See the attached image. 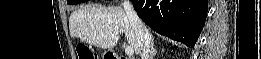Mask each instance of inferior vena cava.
<instances>
[{"instance_id": "1", "label": "inferior vena cava", "mask_w": 261, "mask_h": 59, "mask_svg": "<svg viewBox=\"0 0 261 59\" xmlns=\"http://www.w3.org/2000/svg\"><path fill=\"white\" fill-rule=\"evenodd\" d=\"M123 7L128 20L137 36L141 59H151L150 54L152 36L150 32L136 14L131 1L124 0Z\"/></svg>"}]
</instances>
